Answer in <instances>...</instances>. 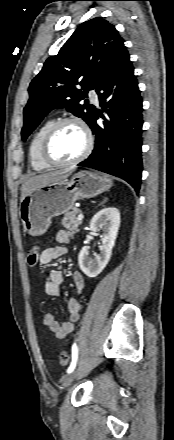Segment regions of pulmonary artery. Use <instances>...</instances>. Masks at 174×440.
<instances>
[{
    "label": "pulmonary artery",
    "mask_w": 174,
    "mask_h": 440,
    "mask_svg": "<svg viewBox=\"0 0 174 440\" xmlns=\"http://www.w3.org/2000/svg\"><path fill=\"white\" fill-rule=\"evenodd\" d=\"M90 98L95 104H98L99 99H98V95H97L96 91H94V90L90 91Z\"/></svg>",
    "instance_id": "1"
}]
</instances>
